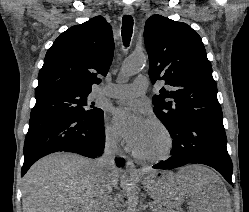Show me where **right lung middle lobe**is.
Masks as SVG:
<instances>
[{
  "label": "right lung middle lobe",
  "mask_w": 249,
  "mask_h": 212,
  "mask_svg": "<svg viewBox=\"0 0 249 212\" xmlns=\"http://www.w3.org/2000/svg\"><path fill=\"white\" fill-rule=\"evenodd\" d=\"M90 92L54 91L35 95L36 104L31 117L40 114L61 113L82 119H100L103 110L94 107L95 102L88 100Z\"/></svg>",
  "instance_id": "obj_1"
}]
</instances>
